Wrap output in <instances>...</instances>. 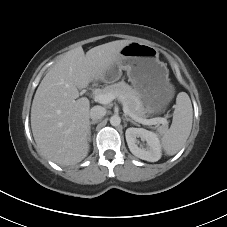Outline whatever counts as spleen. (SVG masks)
<instances>
[{
	"label": "spleen",
	"mask_w": 227,
	"mask_h": 227,
	"mask_svg": "<svg viewBox=\"0 0 227 227\" xmlns=\"http://www.w3.org/2000/svg\"><path fill=\"white\" fill-rule=\"evenodd\" d=\"M193 122V108L187 93L180 92L176 98V106L171 127L162 137V147L169 156L175 155L185 145Z\"/></svg>",
	"instance_id": "obj_1"
}]
</instances>
